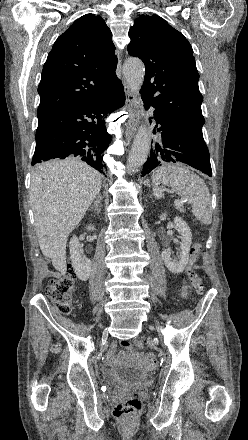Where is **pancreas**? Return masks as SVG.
Instances as JSON below:
<instances>
[{"label":"pancreas","instance_id":"pancreas-1","mask_svg":"<svg viewBox=\"0 0 248 440\" xmlns=\"http://www.w3.org/2000/svg\"><path fill=\"white\" fill-rule=\"evenodd\" d=\"M176 209L180 212H185L183 205H175Z\"/></svg>","mask_w":248,"mask_h":440}]
</instances>
